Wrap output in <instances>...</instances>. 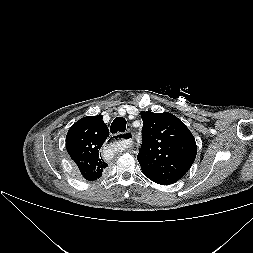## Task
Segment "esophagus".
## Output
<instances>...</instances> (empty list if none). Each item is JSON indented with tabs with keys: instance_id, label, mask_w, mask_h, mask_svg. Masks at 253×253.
<instances>
[{
	"instance_id": "obj_1",
	"label": "esophagus",
	"mask_w": 253,
	"mask_h": 253,
	"mask_svg": "<svg viewBox=\"0 0 253 253\" xmlns=\"http://www.w3.org/2000/svg\"><path fill=\"white\" fill-rule=\"evenodd\" d=\"M120 135L122 136L121 140H123V143H125L128 147H130L133 144L134 135L131 131L119 134L118 136Z\"/></svg>"
}]
</instances>
